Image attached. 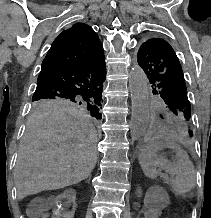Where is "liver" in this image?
Here are the masks:
<instances>
[{
    "mask_svg": "<svg viewBox=\"0 0 211 218\" xmlns=\"http://www.w3.org/2000/svg\"><path fill=\"white\" fill-rule=\"evenodd\" d=\"M96 142V130L82 110H34L26 122L14 172L19 200L86 180L96 166Z\"/></svg>",
    "mask_w": 211,
    "mask_h": 218,
    "instance_id": "obj_1",
    "label": "liver"
}]
</instances>
